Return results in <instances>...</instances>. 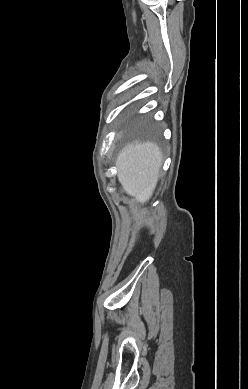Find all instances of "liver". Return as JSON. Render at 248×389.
<instances>
[{
    "label": "liver",
    "mask_w": 248,
    "mask_h": 389,
    "mask_svg": "<svg viewBox=\"0 0 248 389\" xmlns=\"http://www.w3.org/2000/svg\"><path fill=\"white\" fill-rule=\"evenodd\" d=\"M163 155L157 144L139 142L127 144L116 159L117 176L123 190L137 204L146 203L155 190Z\"/></svg>",
    "instance_id": "obj_1"
}]
</instances>
